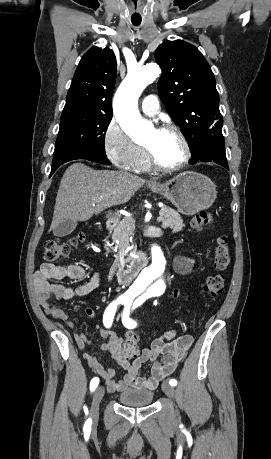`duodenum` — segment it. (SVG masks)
<instances>
[{
  "label": "duodenum",
  "instance_id": "1",
  "mask_svg": "<svg viewBox=\"0 0 271 459\" xmlns=\"http://www.w3.org/2000/svg\"><path fill=\"white\" fill-rule=\"evenodd\" d=\"M116 225V221L113 217H109L106 221V226L109 230H112ZM145 266V259L143 257H136L129 268L118 275V282L121 285H129L134 278L138 275L141 269Z\"/></svg>",
  "mask_w": 271,
  "mask_h": 459
}]
</instances>
